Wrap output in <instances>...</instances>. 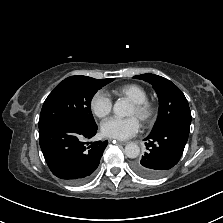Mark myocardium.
<instances>
[{
	"label": "myocardium",
	"mask_w": 223,
	"mask_h": 223,
	"mask_svg": "<svg viewBox=\"0 0 223 223\" xmlns=\"http://www.w3.org/2000/svg\"><path fill=\"white\" fill-rule=\"evenodd\" d=\"M133 106L136 109V114L139 120L145 124H152L158 114V105L149 99H145L140 102H133Z\"/></svg>",
	"instance_id": "1"
}]
</instances>
